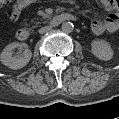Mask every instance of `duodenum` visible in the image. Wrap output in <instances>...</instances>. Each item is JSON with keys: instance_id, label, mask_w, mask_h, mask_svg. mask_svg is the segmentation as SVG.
<instances>
[{"instance_id": "1", "label": "duodenum", "mask_w": 119, "mask_h": 119, "mask_svg": "<svg viewBox=\"0 0 119 119\" xmlns=\"http://www.w3.org/2000/svg\"><path fill=\"white\" fill-rule=\"evenodd\" d=\"M76 19H77L76 16L73 14L61 13V14H57V15H54L51 18H49L48 24L51 27H57L60 24H62L63 22L74 21ZM16 36L19 40L25 41V40L29 39L30 32L27 29L21 28L17 31Z\"/></svg>"}]
</instances>
